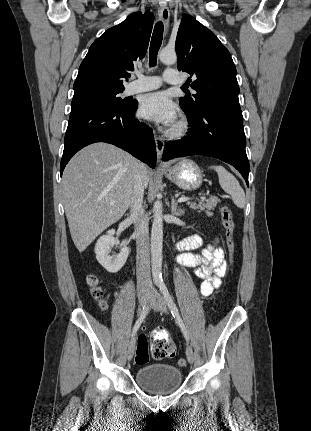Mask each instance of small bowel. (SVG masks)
<instances>
[{"label":"small bowel","mask_w":311,"mask_h":431,"mask_svg":"<svg viewBox=\"0 0 311 431\" xmlns=\"http://www.w3.org/2000/svg\"><path fill=\"white\" fill-rule=\"evenodd\" d=\"M202 244L203 241L199 235H191L181 240L177 245L181 250L178 261L184 266L193 268L195 275L202 280L201 293L208 296L220 287L228 265L224 250L217 243L207 245L201 253H195L194 250L200 248ZM156 336L167 337V334L157 329L153 332V338Z\"/></svg>","instance_id":"obj_1"}]
</instances>
